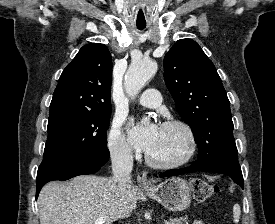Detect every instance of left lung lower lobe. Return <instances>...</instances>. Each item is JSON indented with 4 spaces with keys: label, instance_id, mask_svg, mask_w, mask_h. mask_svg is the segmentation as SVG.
<instances>
[{
    "label": "left lung lower lobe",
    "instance_id": "0a47b994",
    "mask_svg": "<svg viewBox=\"0 0 275 224\" xmlns=\"http://www.w3.org/2000/svg\"><path fill=\"white\" fill-rule=\"evenodd\" d=\"M195 171H213L220 174H225L230 176L235 183H237L240 187L243 188V176L241 169H230V168H222L218 170H210L206 164L203 162H194L191 166L182 168V169H173L165 171L164 173L160 174L159 177H168V176H177L184 173H190Z\"/></svg>",
    "mask_w": 275,
    "mask_h": 224
}]
</instances>
